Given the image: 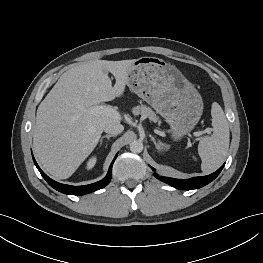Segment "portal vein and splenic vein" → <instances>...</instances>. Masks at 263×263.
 I'll use <instances>...</instances> for the list:
<instances>
[{"label":"portal vein and splenic vein","instance_id":"1","mask_svg":"<svg viewBox=\"0 0 263 263\" xmlns=\"http://www.w3.org/2000/svg\"><path fill=\"white\" fill-rule=\"evenodd\" d=\"M88 112L90 114H98V115H103L109 118H112L114 120L119 121L120 120V114L117 110H115L114 108H112L109 105H97V106H93L90 107L88 109ZM203 134H210V129L207 128L204 131H199V132H194L193 135L196 137H201Z\"/></svg>","mask_w":263,"mask_h":263}]
</instances>
